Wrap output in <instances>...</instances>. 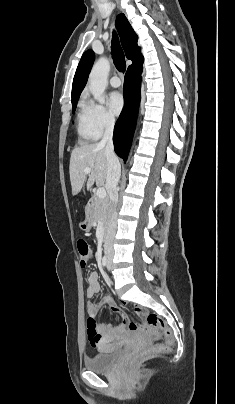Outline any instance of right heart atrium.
Segmentation results:
<instances>
[{
	"instance_id": "right-heart-atrium-1",
	"label": "right heart atrium",
	"mask_w": 235,
	"mask_h": 404,
	"mask_svg": "<svg viewBox=\"0 0 235 404\" xmlns=\"http://www.w3.org/2000/svg\"><path fill=\"white\" fill-rule=\"evenodd\" d=\"M88 110L91 124L97 134L111 129L115 124V118L108 109L95 101L86 97L83 102Z\"/></svg>"
}]
</instances>
